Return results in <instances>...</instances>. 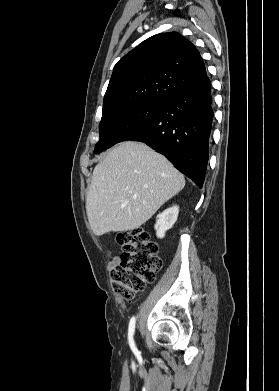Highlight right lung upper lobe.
I'll list each match as a JSON object with an SVG mask.
<instances>
[{
	"mask_svg": "<svg viewBox=\"0 0 279 391\" xmlns=\"http://www.w3.org/2000/svg\"><path fill=\"white\" fill-rule=\"evenodd\" d=\"M205 76L202 57L190 41L177 32L154 35L114 66L103 113L137 102L164 103Z\"/></svg>",
	"mask_w": 279,
	"mask_h": 391,
	"instance_id": "obj_1",
	"label": "right lung upper lobe"
}]
</instances>
